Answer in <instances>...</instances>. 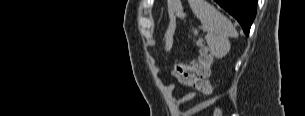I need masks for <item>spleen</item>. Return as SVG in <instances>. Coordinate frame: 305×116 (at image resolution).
<instances>
[{"label": "spleen", "instance_id": "1", "mask_svg": "<svg viewBox=\"0 0 305 116\" xmlns=\"http://www.w3.org/2000/svg\"><path fill=\"white\" fill-rule=\"evenodd\" d=\"M189 4L204 29L211 35L214 34L209 42L210 46H223L227 51L230 47L228 37H238L231 21L205 0H189Z\"/></svg>", "mask_w": 305, "mask_h": 116}]
</instances>
